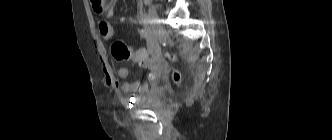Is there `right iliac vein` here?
<instances>
[{
    "label": "right iliac vein",
    "instance_id": "right-iliac-vein-1",
    "mask_svg": "<svg viewBox=\"0 0 332 140\" xmlns=\"http://www.w3.org/2000/svg\"><path fill=\"white\" fill-rule=\"evenodd\" d=\"M148 16L151 23V31H155L157 24L159 23V18L154 7L149 8Z\"/></svg>",
    "mask_w": 332,
    "mask_h": 140
}]
</instances>
